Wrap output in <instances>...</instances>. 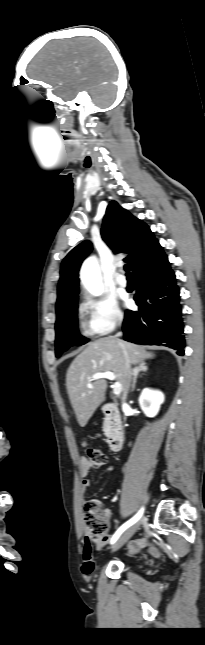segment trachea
Returning <instances> with one entry per match:
<instances>
[{"label": "trachea", "mask_w": 205, "mask_h": 645, "mask_svg": "<svg viewBox=\"0 0 205 645\" xmlns=\"http://www.w3.org/2000/svg\"><path fill=\"white\" fill-rule=\"evenodd\" d=\"M124 270L126 271L127 276H131L132 274L130 273L131 270V265L130 264H125Z\"/></svg>", "instance_id": "3493384b"}]
</instances>
